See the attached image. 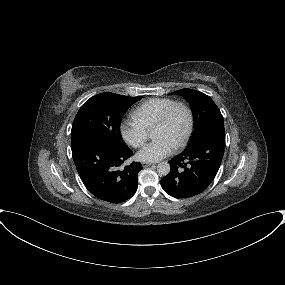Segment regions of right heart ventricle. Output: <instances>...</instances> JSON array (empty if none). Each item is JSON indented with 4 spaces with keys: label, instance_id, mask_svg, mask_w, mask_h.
Masks as SVG:
<instances>
[{
    "label": "right heart ventricle",
    "instance_id": "right-heart-ventricle-1",
    "mask_svg": "<svg viewBox=\"0 0 285 285\" xmlns=\"http://www.w3.org/2000/svg\"><path fill=\"white\" fill-rule=\"evenodd\" d=\"M176 101L170 98H152L139 104L135 111L136 115L147 129L155 126L161 115Z\"/></svg>",
    "mask_w": 285,
    "mask_h": 285
}]
</instances>
